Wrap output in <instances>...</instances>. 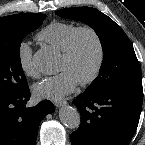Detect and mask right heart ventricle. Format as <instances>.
<instances>
[{
	"label": "right heart ventricle",
	"instance_id": "right-heart-ventricle-1",
	"mask_svg": "<svg viewBox=\"0 0 145 145\" xmlns=\"http://www.w3.org/2000/svg\"><path fill=\"white\" fill-rule=\"evenodd\" d=\"M79 26L71 22L53 21L45 26L36 36L37 40L62 52Z\"/></svg>",
	"mask_w": 145,
	"mask_h": 145
}]
</instances>
